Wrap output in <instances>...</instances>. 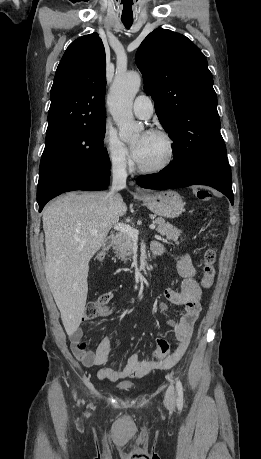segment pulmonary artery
<instances>
[{
	"mask_svg": "<svg viewBox=\"0 0 261 459\" xmlns=\"http://www.w3.org/2000/svg\"><path fill=\"white\" fill-rule=\"evenodd\" d=\"M133 112L139 118H150L154 112L152 100L146 95L137 96L133 103Z\"/></svg>",
	"mask_w": 261,
	"mask_h": 459,
	"instance_id": "obj_1",
	"label": "pulmonary artery"
}]
</instances>
